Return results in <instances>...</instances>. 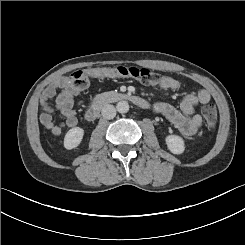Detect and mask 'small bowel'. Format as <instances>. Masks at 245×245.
<instances>
[{
    "label": "small bowel",
    "instance_id": "c3829d8e",
    "mask_svg": "<svg viewBox=\"0 0 245 245\" xmlns=\"http://www.w3.org/2000/svg\"><path fill=\"white\" fill-rule=\"evenodd\" d=\"M179 82L174 78H165L159 85L161 89L175 90L179 88ZM57 91H60L57 94ZM77 92L67 83L66 79H59L45 88L41 97L40 115L41 124L53 135L60 136L66 128L73 129L77 126V112L73 107ZM56 96V108L64 115L65 120L57 123L52 116V107L49 100ZM210 101L208 91L202 89L196 94L186 96L180 110L170 104L158 102L153 104L152 110L157 114L164 115L178 130L186 136H195L202 124V118L196 113L198 104H207Z\"/></svg>",
    "mask_w": 245,
    "mask_h": 245
}]
</instances>
